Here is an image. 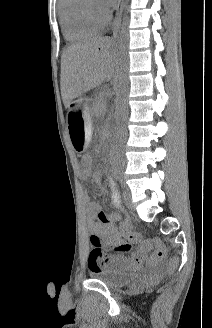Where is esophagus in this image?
<instances>
[{
  "instance_id": "obj_1",
  "label": "esophagus",
  "mask_w": 212,
  "mask_h": 328,
  "mask_svg": "<svg viewBox=\"0 0 212 328\" xmlns=\"http://www.w3.org/2000/svg\"><path fill=\"white\" fill-rule=\"evenodd\" d=\"M123 4H124V0H118L116 17H115V20L113 22V27H112V32H111V38L113 40H116V38L118 36L120 26H121V17H122V11H123Z\"/></svg>"
}]
</instances>
